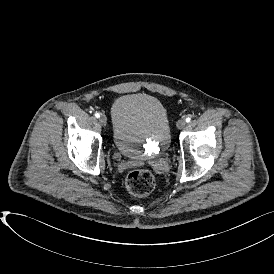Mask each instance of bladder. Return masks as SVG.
I'll list each match as a JSON object with an SVG mask.
<instances>
[{"mask_svg": "<svg viewBox=\"0 0 274 274\" xmlns=\"http://www.w3.org/2000/svg\"><path fill=\"white\" fill-rule=\"evenodd\" d=\"M111 117L113 144L122 156L143 160L169 148V118L156 97L143 93L122 95L115 100Z\"/></svg>", "mask_w": 274, "mask_h": 274, "instance_id": "bladder-1", "label": "bladder"}]
</instances>
